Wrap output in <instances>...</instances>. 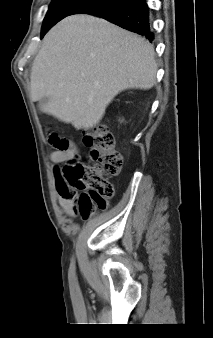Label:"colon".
Returning a JSON list of instances; mask_svg holds the SVG:
<instances>
[{
	"instance_id": "obj_1",
	"label": "colon",
	"mask_w": 213,
	"mask_h": 338,
	"mask_svg": "<svg viewBox=\"0 0 213 338\" xmlns=\"http://www.w3.org/2000/svg\"><path fill=\"white\" fill-rule=\"evenodd\" d=\"M84 143L90 150L91 165H84L75 157L65 161L60 170H54L58 191L65 188L75 192L85 191L83 195L89 204L81 208V214L89 217L97 211L106 209L105 199L114 196V186L110 178L120 173L122 156L115 147V141L101 125L83 132ZM68 140L62 139L57 148L68 149Z\"/></svg>"
}]
</instances>
